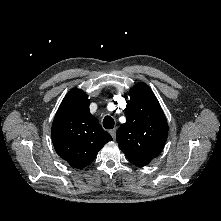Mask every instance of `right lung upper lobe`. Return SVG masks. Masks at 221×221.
<instances>
[{
  "mask_svg": "<svg viewBox=\"0 0 221 221\" xmlns=\"http://www.w3.org/2000/svg\"><path fill=\"white\" fill-rule=\"evenodd\" d=\"M88 96L71 89L64 97L52 124V142L57 154L71 166L82 169L112 140L91 115Z\"/></svg>",
  "mask_w": 221,
  "mask_h": 221,
  "instance_id": "obj_1",
  "label": "right lung upper lobe"
}]
</instances>
